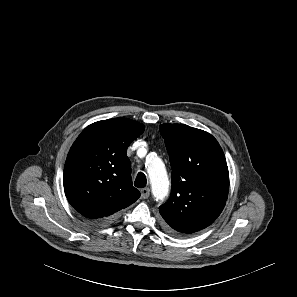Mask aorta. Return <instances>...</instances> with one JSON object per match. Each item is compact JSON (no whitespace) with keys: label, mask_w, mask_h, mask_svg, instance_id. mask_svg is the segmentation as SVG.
<instances>
[{"label":"aorta","mask_w":297,"mask_h":297,"mask_svg":"<svg viewBox=\"0 0 297 297\" xmlns=\"http://www.w3.org/2000/svg\"><path fill=\"white\" fill-rule=\"evenodd\" d=\"M147 172L153 196L159 200L163 199L169 191V180L164 163L158 157H150L147 161Z\"/></svg>","instance_id":"1"}]
</instances>
